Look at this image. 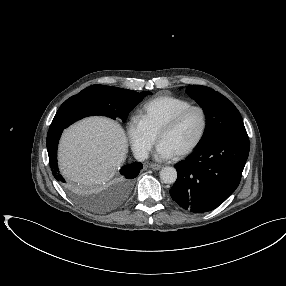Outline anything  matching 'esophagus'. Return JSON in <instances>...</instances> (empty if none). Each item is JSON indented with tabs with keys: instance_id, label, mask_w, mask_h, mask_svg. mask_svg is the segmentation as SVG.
Listing matches in <instances>:
<instances>
[{
	"instance_id": "esophagus-1",
	"label": "esophagus",
	"mask_w": 286,
	"mask_h": 286,
	"mask_svg": "<svg viewBox=\"0 0 286 286\" xmlns=\"http://www.w3.org/2000/svg\"><path fill=\"white\" fill-rule=\"evenodd\" d=\"M150 168L153 170H160L162 168V165L152 163V164H150Z\"/></svg>"
}]
</instances>
